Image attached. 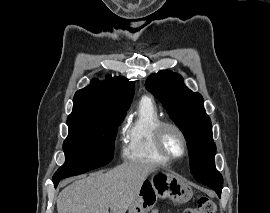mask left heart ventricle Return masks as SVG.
Masks as SVG:
<instances>
[{"mask_svg":"<svg viewBox=\"0 0 270 213\" xmlns=\"http://www.w3.org/2000/svg\"><path fill=\"white\" fill-rule=\"evenodd\" d=\"M165 146L169 153L173 155L181 154L183 144L180 136L173 130L167 131L165 135Z\"/></svg>","mask_w":270,"mask_h":213,"instance_id":"left-heart-ventricle-1","label":"left heart ventricle"}]
</instances>
